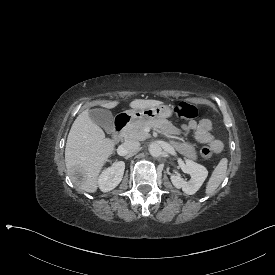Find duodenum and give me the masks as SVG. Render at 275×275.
I'll list each match as a JSON object with an SVG mask.
<instances>
[{
	"mask_svg": "<svg viewBox=\"0 0 275 275\" xmlns=\"http://www.w3.org/2000/svg\"><path fill=\"white\" fill-rule=\"evenodd\" d=\"M130 121L131 116L129 114L123 113L116 117L114 121V131L112 135L114 142H118L122 138L123 133L126 127L129 125Z\"/></svg>",
	"mask_w": 275,
	"mask_h": 275,
	"instance_id": "obj_1",
	"label": "duodenum"
}]
</instances>
